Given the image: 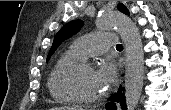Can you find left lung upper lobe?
<instances>
[{
	"label": "left lung upper lobe",
	"mask_w": 171,
	"mask_h": 110,
	"mask_svg": "<svg viewBox=\"0 0 171 110\" xmlns=\"http://www.w3.org/2000/svg\"><path fill=\"white\" fill-rule=\"evenodd\" d=\"M118 10L123 12L124 14H129V11L122 3L118 5ZM82 26H83V22L81 20H74L64 25L54 37L52 47L47 56V61L50 59L51 55L55 52L58 46L64 40L68 39L73 34L77 33L81 29Z\"/></svg>",
	"instance_id": "1"
}]
</instances>
